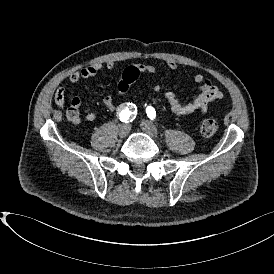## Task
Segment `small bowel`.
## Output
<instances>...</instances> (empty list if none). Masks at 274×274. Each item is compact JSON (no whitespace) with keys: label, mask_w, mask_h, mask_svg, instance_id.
I'll use <instances>...</instances> for the list:
<instances>
[{"label":"small bowel","mask_w":274,"mask_h":274,"mask_svg":"<svg viewBox=\"0 0 274 274\" xmlns=\"http://www.w3.org/2000/svg\"><path fill=\"white\" fill-rule=\"evenodd\" d=\"M166 65L172 70H179V65L174 60H167ZM115 66L116 64L112 60H108L104 63H93L83 69L71 73L69 76V81L71 84H76L82 79H90L95 77L103 68L113 70ZM136 67H138L140 72L148 75H154L157 72L156 67L152 64L142 63L138 64ZM193 82L198 85L199 91L190 101L186 103L181 102L177 95L172 91H167L165 93V99L171 111L175 115L185 117L195 113H204L213 101L220 99L223 96L222 90L213 84V82L206 78L202 73L194 75ZM128 88L129 87L118 88V92L120 93L121 91L124 93ZM152 89L154 91H160L161 83L155 79L152 83ZM64 101L65 89L63 86H59L55 92V102L58 109H62L64 107ZM71 103L77 107L80 106V100L78 98H74ZM103 104L110 111H115L117 109L111 93H108L103 97ZM84 119L87 123H92L96 121L97 115L94 112H89L85 115Z\"/></svg>","instance_id":"obj_1"}]
</instances>
